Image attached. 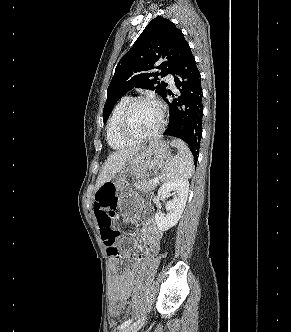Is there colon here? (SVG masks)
<instances>
[{
	"instance_id": "5ec220e1",
	"label": "colon",
	"mask_w": 291,
	"mask_h": 332,
	"mask_svg": "<svg viewBox=\"0 0 291 332\" xmlns=\"http://www.w3.org/2000/svg\"><path fill=\"white\" fill-rule=\"evenodd\" d=\"M96 214L101 237L106 247L108 256L118 258L117 239L119 231L116 226V198L114 190H103L95 199ZM119 312L116 308L110 309V319H118Z\"/></svg>"
}]
</instances>
